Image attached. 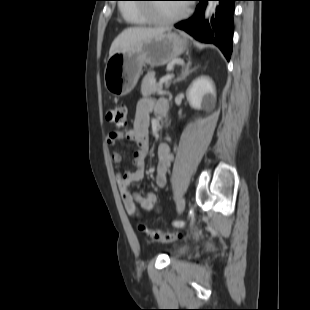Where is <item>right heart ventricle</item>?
<instances>
[{
    "label": "right heart ventricle",
    "instance_id": "right-heart-ventricle-1",
    "mask_svg": "<svg viewBox=\"0 0 310 310\" xmlns=\"http://www.w3.org/2000/svg\"><path fill=\"white\" fill-rule=\"evenodd\" d=\"M120 12L124 19L132 25H145L151 22L144 9L136 5L123 4L120 7Z\"/></svg>",
    "mask_w": 310,
    "mask_h": 310
}]
</instances>
